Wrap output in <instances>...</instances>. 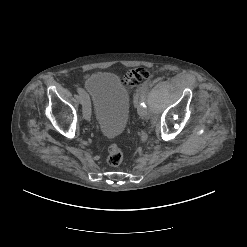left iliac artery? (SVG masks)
Returning <instances> with one entry per match:
<instances>
[{
  "instance_id": "1",
  "label": "left iliac artery",
  "mask_w": 247,
  "mask_h": 247,
  "mask_svg": "<svg viewBox=\"0 0 247 247\" xmlns=\"http://www.w3.org/2000/svg\"><path fill=\"white\" fill-rule=\"evenodd\" d=\"M149 88V84L148 83H145L141 90H140V106L139 108H146V102H145V98H146V91L147 89Z\"/></svg>"
}]
</instances>
